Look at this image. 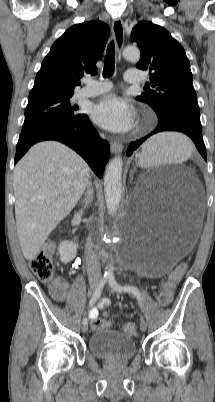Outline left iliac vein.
Returning <instances> with one entry per match:
<instances>
[{
  "mask_svg": "<svg viewBox=\"0 0 215 402\" xmlns=\"http://www.w3.org/2000/svg\"><path fill=\"white\" fill-rule=\"evenodd\" d=\"M140 329L143 332L146 331V329H147V323L144 319H141V321H140Z\"/></svg>",
  "mask_w": 215,
  "mask_h": 402,
  "instance_id": "1",
  "label": "left iliac vein"
}]
</instances>
